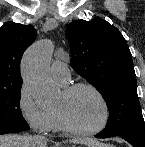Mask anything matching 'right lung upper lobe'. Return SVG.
Wrapping results in <instances>:
<instances>
[{"mask_svg": "<svg viewBox=\"0 0 145 147\" xmlns=\"http://www.w3.org/2000/svg\"><path fill=\"white\" fill-rule=\"evenodd\" d=\"M35 38L32 25L7 22L0 28V88L22 85L20 61Z\"/></svg>", "mask_w": 145, "mask_h": 147, "instance_id": "cb5924a9", "label": "right lung upper lobe"}]
</instances>
